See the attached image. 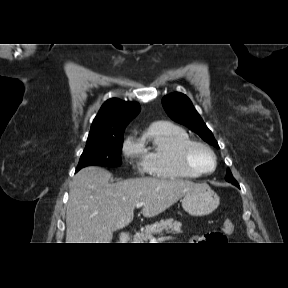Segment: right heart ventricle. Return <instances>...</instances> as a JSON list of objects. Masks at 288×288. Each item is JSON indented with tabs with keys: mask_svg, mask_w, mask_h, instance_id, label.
I'll return each mask as SVG.
<instances>
[{
	"mask_svg": "<svg viewBox=\"0 0 288 288\" xmlns=\"http://www.w3.org/2000/svg\"><path fill=\"white\" fill-rule=\"evenodd\" d=\"M190 140L182 127L166 121L149 125L138 144L141 165L150 175L163 179H196L199 175L188 171L180 161V149Z\"/></svg>",
	"mask_w": 288,
	"mask_h": 288,
	"instance_id": "right-heart-ventricle-1",
	"label": "right heart ventricle"
}]
</instances>
